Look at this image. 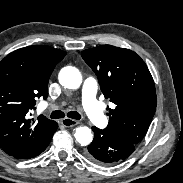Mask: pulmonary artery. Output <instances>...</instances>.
Listing matches in <instances>:
<instances>
[{"instance_id": "obj_1", "label": "pulmonary artery", "mask_w": 183, "mask_h": 183, "mask_svg": "<svg viewBox=\"0 0 183 183\" xmlns=\"http://www.w3.org/2000/svg\"><path fill=\"white\" fill-rule=\"evenodd\" d=\"M97 82L94 78L88 77L82 85V106L89 120L97 125L104 126L106 124V116L97 100Z\"/></svg>"}]
</instances>
